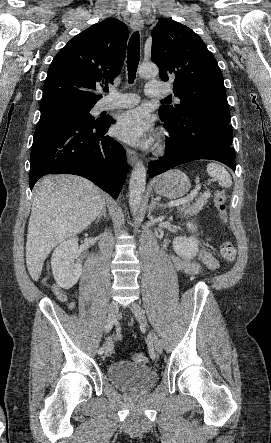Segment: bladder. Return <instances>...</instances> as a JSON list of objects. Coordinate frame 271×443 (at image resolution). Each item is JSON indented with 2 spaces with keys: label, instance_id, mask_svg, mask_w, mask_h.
Returning <instances> with one entry per match:
<instances>
[{
  "label": "bladder",
  "instance_id": "1",
  "mask_svg": "<svg viewBox=\"0 0 271 443\" xmlns=\"http://www.w3.org/2000/svg\"><path fill=\"white\" fill-rule=\"evenodd\" d=\"M107 374L113 385L134 393L151 388L157 380V373L152 367L127 360L112 363Z\"/></svg>",
  "mask_w": 271,
  "mask_h": 443
}]
</instances>
